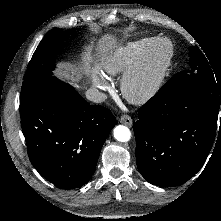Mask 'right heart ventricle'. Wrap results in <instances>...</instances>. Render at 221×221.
I'll list each match as a JSON object with an SVG mask.
<instances>
[{"label": "right heart ventricle", "instance_id": "e07e8e85", "mask_svg": "<svg viewBox=\"0 0 221 221\" xmlns=\"http://www.w3.org/2000/svg\"><path fill=\"white\" fill-rule=\"evenodd\" d=\"M155 40V37H145L127 43L118 49L105 64V73L110 76L127 74L142 61Z\"/></svg>", "mask_w": 221, "mask_h": 221}]
</instances>
